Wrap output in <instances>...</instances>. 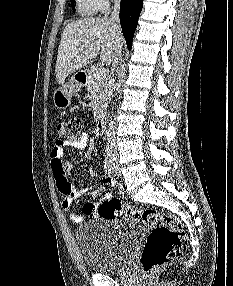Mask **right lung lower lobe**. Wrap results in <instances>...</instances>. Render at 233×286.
<instances>
[{
	"label": "right lung lower lobe",
	"instance_id": "right-lung-lower-lobe-1",
	"mask_svg": "<svg viewBox=\"0 0 233 286\" xmlns=\"http://www.w3.org/2000/svg\"><path fill=\"white\" fill-rule=\"evenodd\" d=\"M142 7L143 0H121L120 23L129 50Z\"/></svg>",
	"mask_w": 233,
	"mask_h": 286
}]
</instances>
